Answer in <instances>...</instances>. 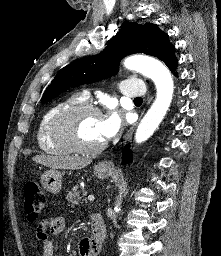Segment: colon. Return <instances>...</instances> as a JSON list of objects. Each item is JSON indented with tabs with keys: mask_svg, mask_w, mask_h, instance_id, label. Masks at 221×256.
<instances>
[{
	"mask_svg": "<svg viewBox=\"0 0 221 256\" xmlns=\"http://www.w3.org/2000/svg\"><path fill=\"white\" fill-rule=\"evenodd\" d=\"M45 205L46 198L39 184L34 180L27 181L24 186V208L28 219L37 221Z\"/></svg>",
	"mask_w": 221,
	"mask_h": 256,
	"instance_id": "5ec220e1",
	"label": "colon"
}]
</instances>
